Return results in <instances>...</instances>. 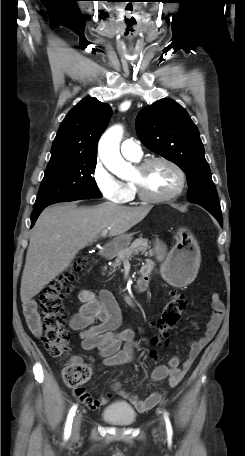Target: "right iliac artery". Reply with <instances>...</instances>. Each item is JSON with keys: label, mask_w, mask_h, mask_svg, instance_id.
Instances as JSON below:
<instances>
[{"label": "right iliac artery", "mask_w": 245, "mask_h": 456, "mask_svg": "<svg viewBox=\"0 0 245 456\" xmlns=\"http://www.w3.org/2000/svg\"><path fill=\"white\" fill-rule=\"evenodd\" d=\"M76 409H77V405H73L72 408L69 411L68 416H67L65 429H64V437H65V439H68L70 437L71 428H72V422H73V418L75 416Z\"/></svg>", "instance_id": "1"}]
</instances>
